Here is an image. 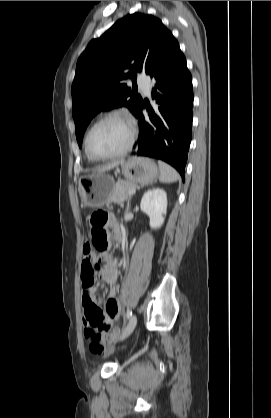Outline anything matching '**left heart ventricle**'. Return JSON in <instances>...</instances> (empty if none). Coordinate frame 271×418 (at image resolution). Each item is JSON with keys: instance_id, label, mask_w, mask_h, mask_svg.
Masks as SVG:
<instances>
[{"instance_id": "1", "label": "left heart ventricle", "mask_w": 271, "mask_h": 418, "mask_svg": "<svg viewBox=\"0 0 271 418\" xmlns=\"http://www.w3.org/2000/svg\"><path fill=\"white\" fill-rule=\"evenodd\" d=\"M131 129L122 120H107L99 124L91 133L89 147L93 154L110 155L122 150L128 143Z\"/></svg>"}]
</instances>
